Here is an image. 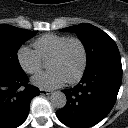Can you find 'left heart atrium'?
I'll return each instance as SVG.
<instances>
[{
	"mask_svg": "<svg viewBox=\"0 0 128 128\" xmlns=\"http://www.w3.org/2000/svg\"><path fill=\"white\" fill-rule=\"evenodd\" d=\"M66 81L67 80L63 77V75L56 70L40 73L32 78V83L34 85L48 90L61 87Z\"/></svg>",
	"mask_w": 128,
	"mask_h": 128,
	"instance_id": "obj_1",
	"label": "left heart atrium"
}]
</instances>
